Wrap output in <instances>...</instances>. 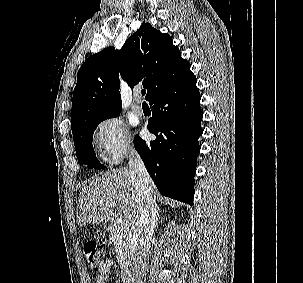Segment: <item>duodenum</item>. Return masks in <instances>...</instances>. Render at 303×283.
<instances>
[{"instance_id": "duodenum-1", "label": "duodenum", "mask_w": 303, "mask_h": 283, "mask_svg": "<svg viewBox=\"0 0 303 283\" xmlns=\"http://www.w3.org/2000/svg\"><path fill=\"white\" fill-rule=\"evenodd\" d=\"M107 226H108L109 229L113 228L114 222L109 221ZM124 276H125L126 283H134V280L132 278V274L129 270H127V269L124 270Z\"/></svg>"}]
</instances>
